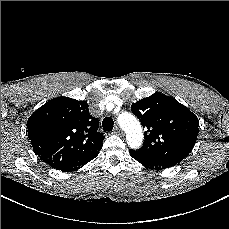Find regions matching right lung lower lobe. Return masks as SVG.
<instances>
[{"mask_svg":"<svg viewBox=\"0 0 229 229\" xmlns=\"http://www.w3.org/2000/svg\"><path fill=\"white\" fill-rule=\"evenodd\" d=\"M98 153L96 155H94L91 158L85 159L81 162H79L78 164H76L75 166L67 169V170H63V172H71V171H75L78 170L79 168H81L82 166H84L86 163H88L89 161H91L92 159H94L95 157H97Z\"/></svg>","mask_w":229,"mask_h":229,"instance_id":"1","label":"right lung lower lobe"}]
</instances>
